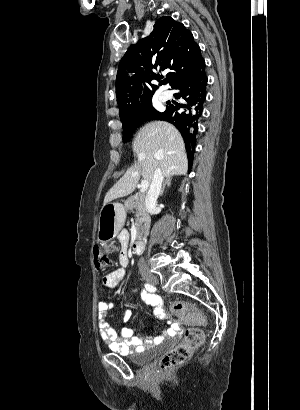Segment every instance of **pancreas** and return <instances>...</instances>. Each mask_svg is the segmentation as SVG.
Segmentation results:
<instances>
[{
	"mask_svg": "<svg viewBox=\"0 0 300 410\" xmlns=\"http://www.w3.org/2000/svg\"><path fill=\"white\" fill-rule=\"evenodd\" d=\"M125 208L127 210L135 209V224L139 234H141L143 228L147 227L149 223V216L145 208V195L139 194L130 196L125 202Z\"/></svg>",
	"mask_w": 300,
	"mask_h": 410,
	"instance_id": "pancreas-1",
	"label": "pancreas"
}]
</instances>
